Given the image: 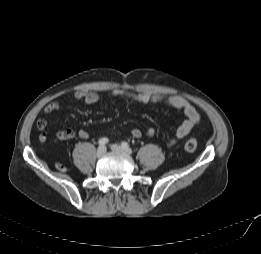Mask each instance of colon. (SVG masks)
<instances>
[{
  "mask_svg": "<svg viewBox=\"0 0 261 254\" xmlns=\"http://www.w3.org/2000/svg\"><path fill=\"white\" fill-rule=\"evenodd\" d=\"M197 140L194 139V138H190L188 139L186 142H185V145H184V148L187 152H194L197 148ZM56 168L59 170V171H65L66 170V167L65 165H63L62 163H56Z\"/></svg>",
  "mask_w": 261,
  "mask_h": 254,
  "instance_id": "1",
  "label": "colon"
}]
</instances>
